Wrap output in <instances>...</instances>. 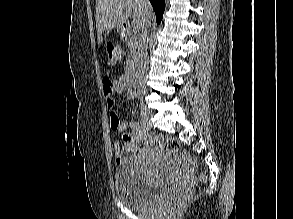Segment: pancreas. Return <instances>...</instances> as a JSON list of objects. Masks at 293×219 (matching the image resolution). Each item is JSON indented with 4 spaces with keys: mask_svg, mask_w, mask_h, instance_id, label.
<instances>
[{
    "mask_svg": "<svg viewBox=\"0 0 293 219\" xmlns=\"http://www.w3.org/2000/svg\"><path fill=\"white\" fill-rule=\"evenodd\" d=\"M128 60L126 62V68H130L134 65L137 59L138 49H139V37L134 34L132 39L128 42Z\"/></svg>",
    "mask_w": 293,
    "mask_h": 219,
    "instance_id": "cf45deb5",
    "label": "pancreas"
}]
</instances>
